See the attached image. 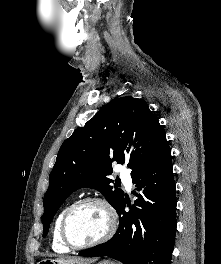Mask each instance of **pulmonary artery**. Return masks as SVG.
<instances>
[{
    "mask_svg": "<svg viewBox=\"0 0 221 264\" xmlns=\"http://www.w3.org/2000/svg\"><path fill=\"white\" fill-rule=\"evenodd\" d=\"M120 177L124 181V183L127 186V188L130 189V186H131V177H130L129 171L127 169H125V168H122L120 170Z\"/></svg>",
    "mask_w": 221,
    "mask_h": 264,
    "instance_id": "obj_1",
    "label": "pulmonary artery"
}]
</instances>
